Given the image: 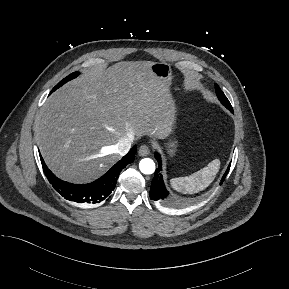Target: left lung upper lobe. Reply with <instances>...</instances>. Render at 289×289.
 <instances>
[{
    "instance_id": "obj_1",
    "label": "left lung upper lobe",
    "mask_w": 289,
    "mask_h": 289,
    "mask_svg": "<svg viewBox=\"0 0 289 289\" xmlns=\"http://www.w3.org/2000/svg\"><path fill=\"white\" fill-rule=\"evenodd\" d=\"M215 89H216V94L219 98V100L224 104L226 105V103H229L230 102L228 101L227 97L224 95V93L221 91V89L219 88V86L217 84H215Z\"/></svg>"
}]
</instances>
